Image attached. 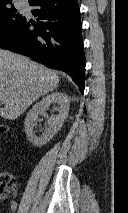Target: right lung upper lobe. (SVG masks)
<instances>
[{"mask_svg":"<svg viewBox=\"0 0 128 213\" xmlns=\"http://www.w3.org/2000/svg\"><path fill=\"white\" fill-rule=\"evenodd\" d=\"M29 3L32 2L33 0H28ZM12 0H0V6L8 5L11 4Z\"/></svg>","mask_w":128,"mask_h":213,"instance_id":"1","label":"right lung upper lobe"}]
</instances>
